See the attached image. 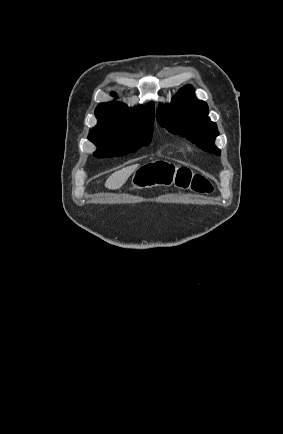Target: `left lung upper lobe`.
Masks as SVG:
<instances>
[{"mask_svg":"<svg viewBox=\"0 0 283 434\" xmlns=\"http://www.w3.org/2000/svg\"><path fill=\"white\" fill-rule=\"evenodd\" d=\"M207 115V104L197 100L193 87L188 85L177 92L170 104L159 105L157 121L169 132L186 137L202 150L220 155L214 145L219 132Z\"/></svg>","mask_w":283,"mask_h":434,"instance_id":"5c2ea615","label":"left lung upper lobe"}]
</instances>
